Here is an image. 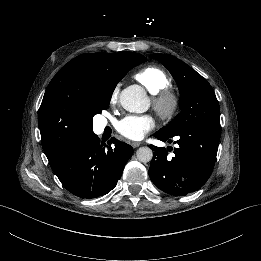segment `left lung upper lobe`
<instances>
[{
    "instance_id": "left-lung-upper-lobe-1",
    "label": "left lung upper lobe",
    "mask_w": 261,
    "mask_h": 261,
    "mask_svg": "<svg viewBox=\"0 0 261 261\" xmlns=\"http://www.w3.org/2000/svg\"><path fill=\"white\" fill-rule=\"evenodd\" d=\"M150 58L156 59L169 70L180 91L181 112L158 132L174 137L197 125L220 129L219 103L207 80L172 55L156 53L150 55Z\"/></svg>"
}]
</instances>
